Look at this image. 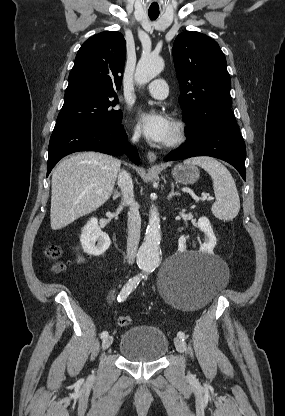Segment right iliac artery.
Returning <instances> with one entry per match:
<instances>
[{
    "label": "right iliac artery",
    "instance_id": "1",
    "mask_svg": "<svg viewBox=\"0 0 285 416\" xmlns=\"http://www.w3.org/2000/svg\"><path fill=\"white\" fill-rule=\"evenodd\" d=\"M140 282V276H135L131 279H129V281L123 286L122 290L120 291V294L118 295V302H122L124 301L128 295L138 286ZM108 336V332L107 331H103L101 333V339H104Z\"/></svg>",
    "mask_w": 285,
    "mask_h": 416
}]
</instances>
